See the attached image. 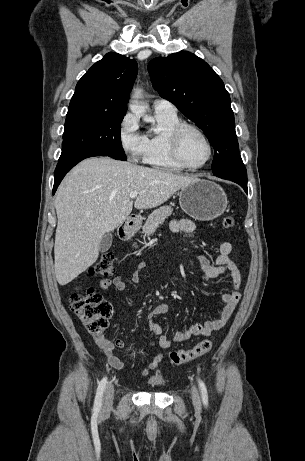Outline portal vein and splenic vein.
<instances>
[{"label": "portal vein and splenic vein", "mask_w": 305, "mask_h": 461, "mask_svg": "<svg viewBox=\"0 0 305 461\" xmlns=\"http://www.w3.org/2000/svg\"><path fill=\"white\" fill-rule=\"evenodd\" d=\"M137 195H138V192H136V191L131 192V193H130V198H131V199H134V198L137 197Z\"/></svg>", "instance_id": "18ae733b"}]
</instances>
